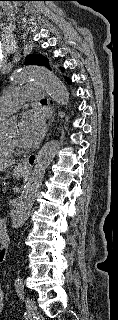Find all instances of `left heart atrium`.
I'll return each mask as SVG.
<instances>
[{
  "mask_svg": "<svg viewBox=\"0 0 118 320\" xmlns=\"http://www.w3.org/2000/svg\"><path fill=\"white\" fill-rule=\"evenodd\" d=\"M46 131L45 118L38 110L28 111L23 114L19 137L27 145H35L41 141Z\"/></svg>",
  "mask_w": 118,
  "mask_h": 320,
  "instance_id": "obj_1",
  "label": "left heart atrium"
}]
</instances>
